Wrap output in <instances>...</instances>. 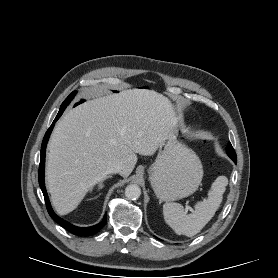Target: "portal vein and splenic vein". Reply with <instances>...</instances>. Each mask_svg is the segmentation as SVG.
<instances>
[{
    "mask_svg": "<svg viewBox=\"0 0 278 278\" xmlns=\"http://www.w3.org/2000/svg\"><path fill=\"white\" fill-rule=\"evenodd\" d=\"M186 210H187V211H188V210L192 211V208L189 207V206L187 205V206H186Z\"/></svg>",
    "mask_w": 278,
    "mask_h": 278,
    "instance_id": "18ae733b",
    "label": "portal vein and splenic vein"
}]
</instances>
